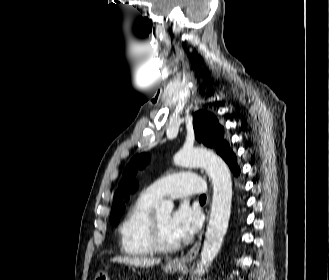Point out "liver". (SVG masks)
<instances>
[{
  "instance_id": "1",
  "label": "liver",
  "mask_w": 329,
  "mask_h": 280,
  "mask_svg": "<svg viewBox=\"0 0 329 280\" xmlns=\"http://www.w3.org/2000/svg\"><path fill=\"white\" fill-rule=\"evenodd\" d=\"M112 262L124 263L126 265H132L135 267H150L158 265L161 260L150 257H138V256H118L111 259Z\"/></svg>"
}]
</instances>
